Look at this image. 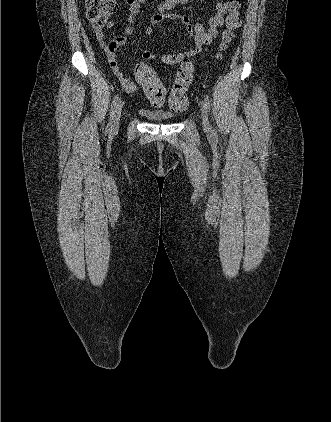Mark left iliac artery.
Here are the masks:
<instances>
[{"label":"left iliac artery","mask_w":331,"mask_h":422,"mask_svg":"<svg viewBox=\"0 0 331 422\" xmlns=\"http://www.w3.org/2000/svg\"><path fill=\"white\" fill-rule=\"evenodd\" d=\"M204 105H205V108L207 110H210V101H209L208 97H205V99H204Z\"/></svg>","instance_id":"1"}]
</instances>
